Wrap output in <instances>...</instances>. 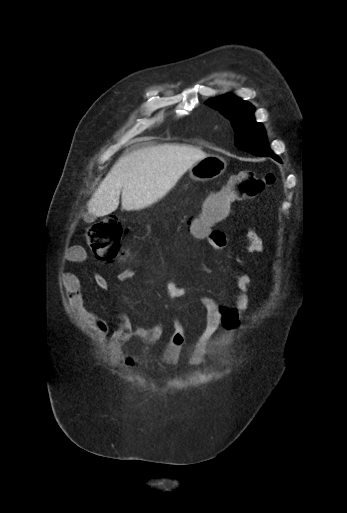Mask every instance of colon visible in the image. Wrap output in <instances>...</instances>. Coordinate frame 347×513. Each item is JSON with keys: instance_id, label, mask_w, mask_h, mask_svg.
<instances>
[{"instance_id": "colon-1", "label": "colon", "mask_w": 347, "mask_h": 513, "mask_svg": "<svg viewBox=\"0 0 347 513\" xmlns=\"http://www.w3.org/2000/svg\"><path fill=\"white\" fill-rule=\"evenodd\" d=\"M273 182L272 174L257 176L251 170L232 175L220 190L205 198L200 215L191 223V234L194 237L205 235L229 215L233 203L258 196ZM124 236L125 228L114 217L96 222L86 231L88 243L97 258L107 262L125 256Z\"/></svg>"}]
</instances>
